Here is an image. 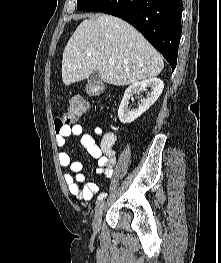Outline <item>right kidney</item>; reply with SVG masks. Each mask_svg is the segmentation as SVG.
Wrapping results in <instances>:
<instances>
[{"mask_svg": "<svg viewBox=\"0 0 221 263\" xmlns=\"http://www.w3.org/2000/svg\"><path fill=\"white\" fill-rule=\"evenodd\" d=\"M149 87L151 92L147 94L146 99H141V103L138 105L136 109H129L128 104L129 100L136 93L142 92ZM164 88V83L159 78H149L140 82L133 83L130 85L125 93L124 97L120 103L118 109V117L120 121L124 124H129L140 117L146 110L149 109L151 105H153L156 100L161 95Z\"/></svg>", "mask_w": 221, "mask_h": 263, "instance_id": "ca27d5eb", "label": "right kidney"}]
</instances>
